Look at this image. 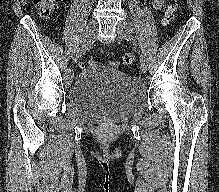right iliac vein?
Here are the masks:
<instances>
[{"mask_svg": "<svg viewBox=\"0 0 219 192\" xmlns=\"http://www.w3.org/2000/svg\"><path fill=\"white\" fill-rule=\"evenodd\" d=\"M96 29V21L94 19H91L87 25L86 31L82 37L81 40V44L79 46V48L76 51V54L74 56V63H77L79 61V59L82 57V55L85 53L86 51V47L88 42L90 41V39L92 38L94 32Z\"/></svg>", "mask_w": 219, "mask_h": 192, "instance_id": "1", "label": "right iliac vein"}]
</instances>
